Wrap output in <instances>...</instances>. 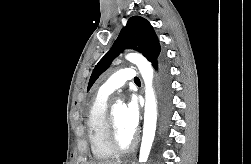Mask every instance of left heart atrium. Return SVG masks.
Returning a JSON list of instances; mask_svg holds the SVG:
<instances>
[{"mask_svg":"<svg viewBox=\"0 0 251 164\" xmlns=\"http://www.w3.org/2000/svg\"><path fill=\"white\" fill-rule=\"evenodd\" d=\"M140 119V110L137 99L132 97L127 105L124 107V121L126 127L133 134L136 132V129L139 124Z\"/></svg>","mask_w":251,"mask_h":164,"instance_id":"left-heart-atrium-1","label":"left heart atrium"}]
</instances>
